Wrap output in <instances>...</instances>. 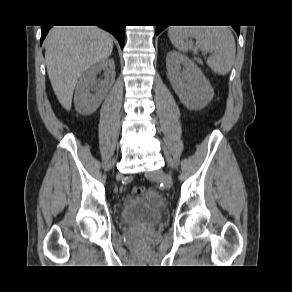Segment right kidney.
Masks as SVG:
<instances>
[{
    "instance_id": "obj_1",
    "label": "right kidney",
    "mask_w": 292,
    "mask_h": 292,
    "mask_svg": "<svg viewBox=\"0 0 292 292\" xmlns=\"http://www.w3.org/2000/svg\"><path fill=\"white\" fill-rule=\"evenodd\" d=\"M104 72V79L97 82L98 73ZM115 63L106 59L87 69L80 77L74 96L76 110L90 115L97 110L115 81Z\"/></svg>"
}]
</instances>
